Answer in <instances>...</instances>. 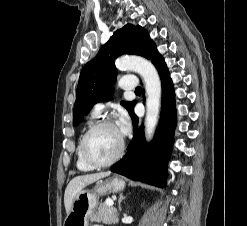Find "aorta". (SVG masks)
<instances>
[{"mask_svg":"<svg viewBox=\"0 0 247 226\" xmlns=\"http://www.w3.org/2000/svg\"><path fill=\"white\" fill-rule=\"evenodd\" d=\"M120 70L136 71L144 80L146 91L145 135L150 140L158 123L161 103V81L153 64L143 57L122 56L116 61Z\"/></svg>","mask_w":247,"mask_h":226,"instance_id":"aorta-1","label":"aorta"}]
</instances>
